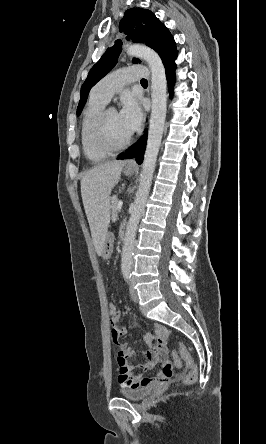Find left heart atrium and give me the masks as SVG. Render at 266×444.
I'll return each instance as SVG.
<instances>
[{
    "instance_id": "39dd6f15",
    "label": "left heart atrium",
    "mask_w": 266,
    "mask_h": 444,
    "mask_svg": "<svg viewBox=\"0 0 266 444\" xmlns=\"http://www.w3.org/2000/svg\"><path fill=\"white\" fill-rule=\"evenodd\" d=\"M119 117L130 134L136 131L142 122V111L139 104L133 99H126L123 102Z\"/></svg>"
}]
</instances>
